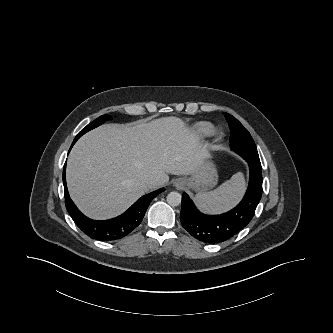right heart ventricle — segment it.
<instances>
[{
  "mask_svg": "<svg viewBox=\"0 0 333 333\" xmlns=\"http://www.w3.org/2000/svg\"><path fill=\"white\" fill-rule=\"evenodd\" d=\"M194 132L200 137H206L211 134L212 126L208 122H198L194 125Z\"/></svg>",
  "mask_w": 333,
  "mask_h": 333,
  "instance_id": "1",
  "label": "right heart ventricle"
}]
</instances>
